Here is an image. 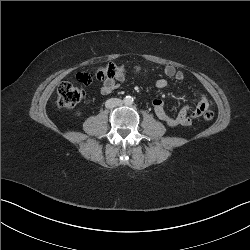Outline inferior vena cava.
Instances as JSON below:
<instances>
[{
	"label": "inferior vena cava",
	"mask_w": 250,
	"mask_h": 250,
	"mask_svg": "<svg viewBox=\"0 0 250 250\" xmlns=\"http://www.w3.org/2000/svg\"><path fill=\"white\" fill-rule=\"evenodd\" d=\"M123 104V101L121 99H118V98H111V99H108L105 103V106L107 108H114V107H117V106H121Z\"/></svg>",
	"instance_id": "1"
}]
</instances>
